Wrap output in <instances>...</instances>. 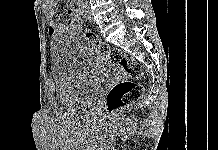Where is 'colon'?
<instances>
[{
	"instance_id": "obj_1",
	"label": "colon",
	"mask_w": 218,
	"mask_h": 150,
	"mask_svg": "<svg viewBox=\"0 0 218 150\" xmlns=\"http://www.w3.org/2000/svg\"><path fill=\"white\" fill-rule=\"evenodd\" d=\"M69 31L77 34L82 27L76 19L67 21ZM85 39L95 46L110 62L119 66L125 78L112 84L106 95V106L110 113H115L126 105L139 99L143 92L140 80L143 77L142 66L133 59L126 57L123 52L101 40L91 30L83 31Z\"/></svg>"
}]
</instances>
